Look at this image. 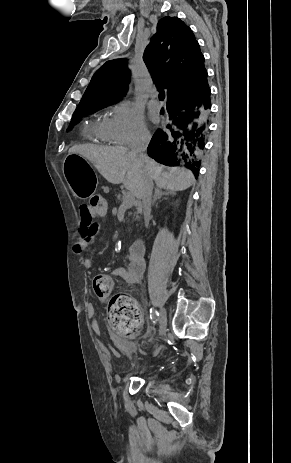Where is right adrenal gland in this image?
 Returning a JSON list of instances; mask_svg holds the SVG:
<instances>
[{"mask_svg":"<svg viewBox=\"0 0 291 463\" xmlns=\"http://www.w3.org/2000/svg\"><path fill=\"white\" fill-rule=\"evenodd\" d=\"M168 195L173 196V195H175V193L173 191H170V190L163 191L162 189H160L158 187L155 188V192H154V196H153V200H152V205H154L157 200L161 199L164 196H168Z\"/></svg>","mask_w":291,"mask_h":463,"instance_id":"1","label":"right adrenal gland"}]
</instances>
